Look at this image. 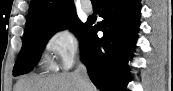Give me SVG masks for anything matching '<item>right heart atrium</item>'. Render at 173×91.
Here are the masks:
<instances>
[{
  "label": "right heart atrium",
  "mask_w": 173,
  "mask_h": 91,
  "mask_svg": "<svg viewBox=\"0 0 173 91\" xmlns=\"http://www.w3.org/2000/svg\"><path fill=\"white\" fill-rule=\"evenodd\" d=\"M46 47L54 55L59 67L68 70L80 51L81 40L74 29L62 27L48 37Z\"/></svg>",
  "instance_id": "d8ad5b80"
}]
</instances>
